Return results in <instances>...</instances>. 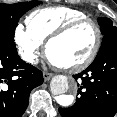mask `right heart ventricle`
<instances>
[{
	"label": "right heart ventricle",
	"mask_w": 117,
	"mask_h": 117,
	"mask_svg": "<svg viewBox=\"0 0 117 117\" xmlns=\"http://www.w3.org/2000/svg\"><path fill=\"white\" fill-rule=\"evenodd\" d=\"M88 18L81 10L67 6H52L37 9L30 13L25 22L28 30L41 42L67 23Z\"/></svg>",
	"instance_id": "right-heart-ventricle-1"
}]
</instances>
